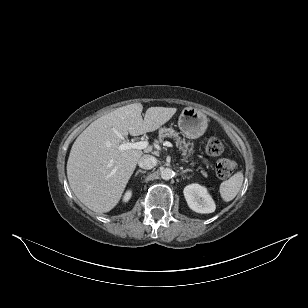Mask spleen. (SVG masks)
I'll return each instance as SVG.
<instances>
[{"mask_svg":"<svg viewBox=\"0 0 308 308\" xmlns=\"http://www.w3.org/2000/svg\"><path fill=\"white\" fill-rule=\"evenodd\" d=\"M243 180V173L239 171L235 173L230 179L222 182L219 188L221 198L225 202L233 200L239 193L243 184Z\"/></svg>","mask_w":308,"mask_h":308,"instance_id":"spleen-1","label":"spleen"}]
</instances>
